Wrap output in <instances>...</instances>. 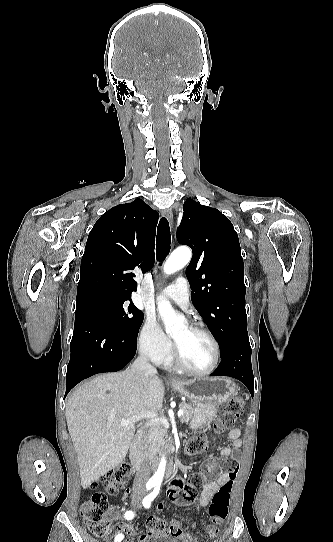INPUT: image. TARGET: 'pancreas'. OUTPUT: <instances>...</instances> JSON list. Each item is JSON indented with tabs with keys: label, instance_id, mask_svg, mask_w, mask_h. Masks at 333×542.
<instances>
[{
	"label": "pancreas",
	"instance_id": "cf45deb5",
	"mask_svg": "<svg viewBox=\"0 0 333 542\" xmlns=\"http://www.w3.org/2000/svg\"><path fill=\"white\" fill-rule=\"evenodd\" d=\"M179 410H183L184 412L183 416L180 418L181 422H189V420H192V404L181 402V404H179ZM165 436H167V430L161 428V424L149 426V430H147L146 436L143 438V446L144 448H147V452H144L145 456H148L151 460H155V458H158L157 454H160L161 448H169V444L164 440Z\"/></svg>",
	"mask_w": 333,
	"mask_h": 542
}]
</instances>
